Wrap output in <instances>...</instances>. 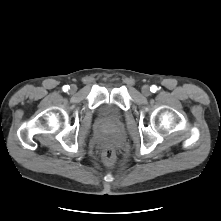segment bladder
<instances>
[{
  "label": "bladder",
  "instance_id": "31cf9c89",
  "mask_svg": "<svg viewBox=\"0 0 221 221\" xmlns=\"http://www.w3.org/2000/svg\"><path fill=\"white\" fill-rule=\"evenodd\" d=\"M100 116L105 121L117 125L123 120V112L111 104H104L100 108Z\"/></svg>",
  "mask_w": 221,
  "mask_h": 221
}]
</instances>
